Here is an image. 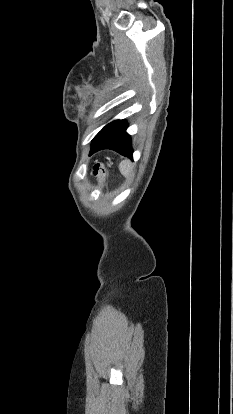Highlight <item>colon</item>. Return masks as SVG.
<instances>
[{
    "instance_id": "5ec220e1",
    "label": "colon",
    "mask_w": 233,
    "mask_h": 414,
    "mask_svg": "<svg viewBox=\"0 0 233 414\" xmlns=\"http://www.w3.org/2000/svg\"><path fill=\"white\" fill-rule=\"evenodd\" d=\"M104 170H105L104 165L101 163H98L94 165L93 167V174L96 176L101 175L104 173Z\"/></svg>"
}]
</instances>
